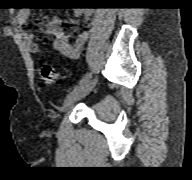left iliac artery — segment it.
Returning <instances> with one entry per match:
<instances>
[{"label": "left iliac artery", "mask_w": 192, "mask_h": 180, "mask_svg": "<svg viewBox=\"0 0 192 180\" xmlns=\"http://www.w3.org/2000/svg\"><path fill=\"white\" fill-rule=\"evenodd\" d=\"M91 78V74H86L80 81L79 83L74 87V89H76L78 86L84 84L85 82H87L89 79Z\"/></svg>", "instance_id": "left-iliac-artery-1"}]
</instances>
